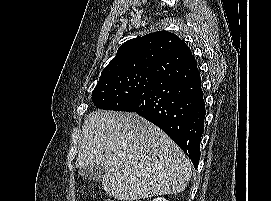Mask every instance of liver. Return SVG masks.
Instances as JSON below:
<instances>
[{"label":"liver","instance_id":"liver-1","mask_svg":"<svg viewBox=\"0 0 271 201\" xmlns=\"http://www.w3.org/2000/svg\"><path fill=\"white\" fill-rule=\"evenodd\" d=\"M101 165L110 197L134 201L182 192L191 178L185 153L135 113L95 111L84 122L76 168Z\"/></svg>","mask_w":271,"mask_h":201}]
</instances>
